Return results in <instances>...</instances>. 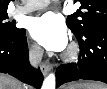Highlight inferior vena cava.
I'll return each instance as SVG.
<instances>
[{
    "label": "inferior vena cava",
    "instance_id": "obj_1",
    "mask_svg": "<svg viewBox=\"0 0 107 89\" xmlns=\"http://www.w3.org/2000/svg\"><path fill=\"white\" fill-rule=\"evenodd\" d=\"M42 55H43V49L38 45H34L30 49V53H29L30 64L33 67H38L39 63L41 62Z\"/></svg>",
    "mask_w": 107,
    "mask_h": 89
}]
</instances>
